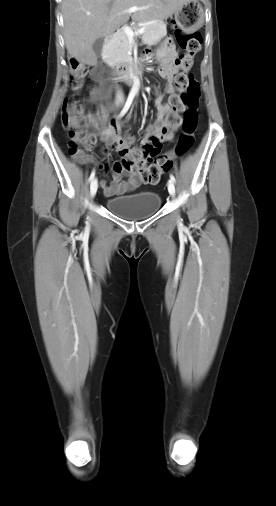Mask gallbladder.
Segmentation results:
<instances>
[{"mask_svg":"<svg viewBox=\"0 0 276 506\" xmlns=\"http://www.w3.org/2000/svg\"><path fill=\"white\" fill-rule=\"evenodd\" d=\"M103 44H104L103 38L97 39L93 44V51L97 57H100L102 54Z\"/></svg>","mask_w":276,"mask_h":506,"instance_id":"obj_1","label":"gallbladder"}]
</instances>
